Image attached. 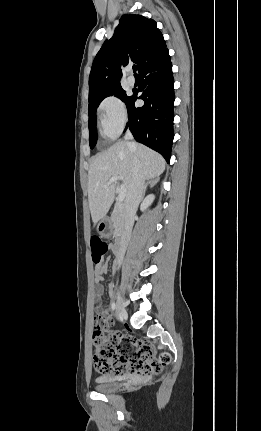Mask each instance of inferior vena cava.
<instances>
[{
	"label": "inferior vena cava",
	"instance_id": "602c4592",
	"mask_svg": "<svg viewBox=\"0 0 261 431\" xmlns=\"http://www.w3.org/2000/svg\"><path fill=\"white\" fill-rule=\"evenodd\" d=\"M127 144L130 146L129 140L133 139L131 132L128 130L124 137ZM134 170L131 186L127 192L124 202V230L119 243V258H122L128 245L130 235L133 228L134 216L136 214L139 203L142 200L145 179L141 173L138 159L134 156Z\"/></svg>",
	"mask_w": 261,
	"mask_h": 431
}]
</instances>
